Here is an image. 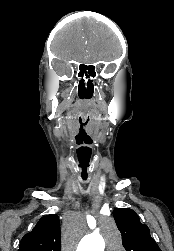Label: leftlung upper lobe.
Masks as SVG:
<instances>
[{
    "label": "left lung upper lobe",
    "instance_id": "5c2ea615",
    "mask_svg": "<svg viewBox=\"0 0 174 251\" xmlns=\"http://www.w3.org/2000/svg\"><path fill=\"white\" fill-rule=\"evenodd\" d=\"M113 216L122 234L126 251H161L151 238L149 228L140 222L135 211L129 208H116Z\"/></svg>",
    "mask_w": 174,
    "mask_h": 251
}]
</instances>
